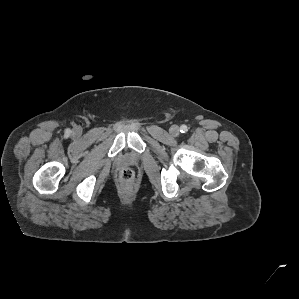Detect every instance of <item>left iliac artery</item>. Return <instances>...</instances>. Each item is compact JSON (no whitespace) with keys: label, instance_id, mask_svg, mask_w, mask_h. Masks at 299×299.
<instances>
[{"label":"left iliac artery","instance_id":"1","mask_svg":"<svg viewBox=\"0 0 299 299\" xmlns=\"http://www.w3.org/2000/svg\"><path fill=\"white\" fill-rule=\"evenodd\" d=\"M180 131H181L182 133H186V132L188 131L187 126H186V125H181V127H180Z\"/></svg>","mask_w":299,"mask_h":299}]
</instances>
